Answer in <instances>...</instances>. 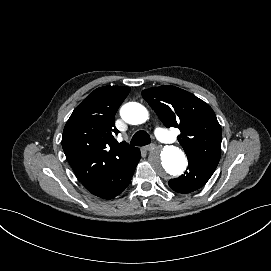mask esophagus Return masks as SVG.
Wrapping results in <instances>:
<instances>
[{"instance_id":"esophagus-1","label":"esophagus","mask_w":271,"mask_h":271,"mask_svg":"<svg viewBox=\"0 0 271 271\" xmlns=\"http://www.w3.org/2000/svg\"><path fill=\"white\" fill-rule=\"evenodd\" d=\"M155 148H156V145L153 144V143L144 147V149H145L146 151H152V150H154Z\"/></svg>"}]
</instances>
